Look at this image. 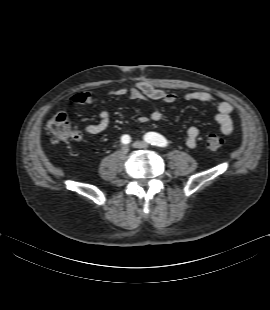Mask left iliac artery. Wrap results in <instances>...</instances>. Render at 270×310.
Wrapping results in <instances>:
<instances>
[{"label": "left iliac artery", "mask_w": 270, "mask_h": 310, "mask_svg": "<svg viewBox=\"0 0 270 310\" xmlns=\"http://www.w3.org/2000/svg\"><path fill=\"white\" fill-rule=\"evenodd\" d=\"M144 140L151 145L158 147H166L168 142L167 140L160 134L155 132H149L144 136Z\"/></svg>", "instance_id": "obj_1"}]
</instances>
